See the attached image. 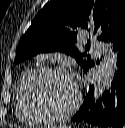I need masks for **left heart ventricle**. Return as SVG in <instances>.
Returning <instances> with one entry per match:
<instances>
[{
    "instance_id": "obj_1",
    "label": "left heart ventricle",
    "mask_w": 125,
    "mask_h": 128,
    "mask_svg": "<svg viewBox=\"0 0 125 128\" xmlns=\"http://www.w3.org/2000/svg\"><path fill=\"white\" fill-rule=\"evenodd\" d=\"M34 96L43 109L51 113H59L73 104L76 87L72 79L67 76L47 75L36 83Z\"/></svg>"
}]
</instances>
